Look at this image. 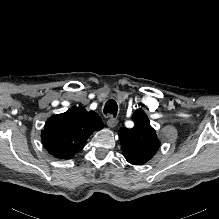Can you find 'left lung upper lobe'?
Wrapping results in <instances>:
<instances>
[{
    "mask_svg": "<svg viewBox=\"0 0 219 219\" xmlns=\"http://www.w3.org/2000/svg\"><path fill=\"white\" fill-rule=\"evenodd\" d=\"M132 120L135 123L132 129L121 128L119 130L122 151L130 164L143 165L157 153L160 142L143 110H136Z\"/></svg>",
    "mask_w": 219,
    "mask_h": 219,
    "instance_id": "left-lung-upper-lobe-1",
    "label": "left lung upper lobe"
}]
</instances>
